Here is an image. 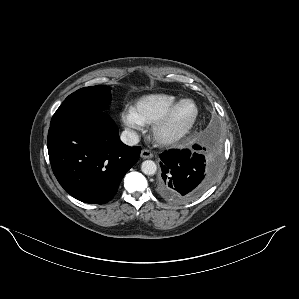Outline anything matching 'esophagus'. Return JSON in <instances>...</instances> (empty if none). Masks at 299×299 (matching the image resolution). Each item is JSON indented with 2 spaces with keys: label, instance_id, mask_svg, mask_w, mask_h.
I'll return each instance as SVG.
<instances>
[{
  "label": "esophagus",
  "instance_id": "34e87169",
  "mask_svg": "<svg viewBox=\"0 0 299 299\" xmlns=\"http://www.w3.org/2000/svg\"><path fill=\"white\" fill-rule=\"evenodd\" d=\"M141 157L143 159H150V158L153 157V153L150 150H148V149H143L141 151Z\"/></svg>",
  "mask_w": 299,
  "mask_h": 299
}]
</instances>
